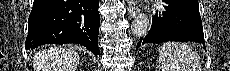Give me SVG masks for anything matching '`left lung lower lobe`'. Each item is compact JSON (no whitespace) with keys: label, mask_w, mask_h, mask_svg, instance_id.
Listing matches in <instances>:
<instances>
[{"label":"left lung lower lobe","mask_w":230,"mask_h":71,"mask_svg":"<svg viewBox=\"0 0 230 71\" xmlns=\"http://www.w3.org/2000/svg\"><path fill=\"white\" fill-rule=\"evenodd\" d=\"M168 6L163 15L156 13L152 26L137 46L167 41H196L204 44L202 21L197 0H163Z\"/></svg>","instance_id":"obj_1"}]
</instances>
